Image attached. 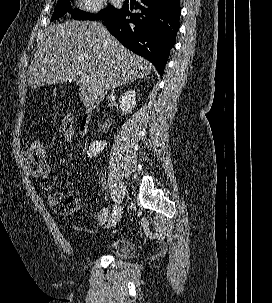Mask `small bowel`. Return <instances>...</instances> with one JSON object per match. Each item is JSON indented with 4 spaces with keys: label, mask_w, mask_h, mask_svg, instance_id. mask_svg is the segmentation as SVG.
<instances>
[{
    "label": "small bowel",
    "mask_w": 272,
    "mask_h": 303,
    "mask_svg": "<svg viewBox=\"0 0 272 303\" xmlns=\"http://www.w3.org/2000/svg\"><path fill=\"white\" fill-rule=\"evenodd\" d=\"M21 159H22L23 167L29 176L43 180L49 177L50 171H48L47 173H39L34 169L30 146L22 153Z\"/></svg>",
    "instance_id": "obj_1"
}]
</instances>
